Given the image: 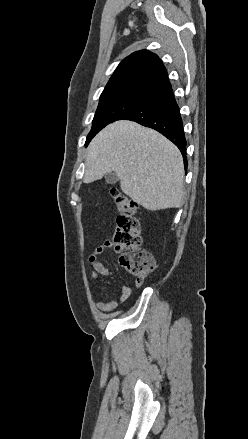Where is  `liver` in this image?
<instances>
[{
  "label": "liver",
  "instance_id": "liver-1",
  "mask_svg": "<svg viewBox=\"0 0 248 439\" xmlns=\"http://www.w3.org/2000/svg\"><path fill=\"white\" fill-rule=\"evenodd\" d=\"M114 172L123 193L147 210L183 204L184 165L179 149L157 131L132 121H116L87 149L84 183Z\"/></svg>",
  "mask_w": 248,
  "mask_h": 439
}]
</instances>
